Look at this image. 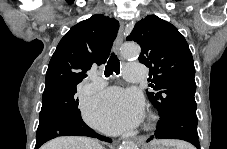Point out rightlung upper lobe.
Here are the masks:
<instances>
[{
	"mask_svg": "<svg viewBox=\"0 0 227 149\" xmlns=\"http://www.w3.org/2000/svg\"><path fill=\"white\" fill-rule=\"evenodd\" d=\"M118 29L116 19L100 14L73 26L60 40L49 62L45 89L77 86L88 70L105 63Z\"/></svg>",
	"mask_w": 227,
	"mask_h": 149,
	"instance_id": "cb5924a9",
	"label": "right lung upper lobe"
}]
</instances>
